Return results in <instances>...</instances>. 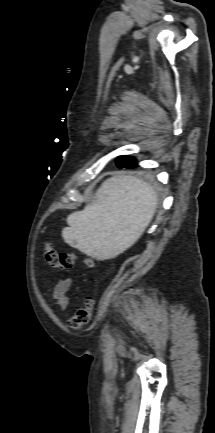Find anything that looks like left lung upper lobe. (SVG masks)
<instances>
[{"mask_svg": "<svg viewBox=\"0 0 215 433\" xmlns=\"http://www.w3.org/2000/svg\"><path fill=\"white\" fill-rule=\"evenodd\" d=\"M133 162H136V160L133 157L129 156H119L116 158L117 166L124 167L126 165H129Z\"/></svg>", "mask_w": 215, "mask_h": 433, "instance_id": "obj_1", "label": "left lung upper lobe"}]
</instances>
